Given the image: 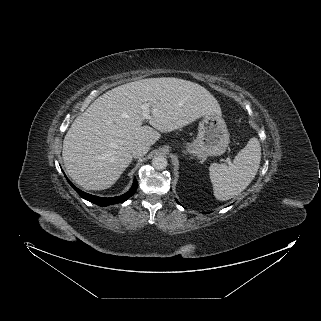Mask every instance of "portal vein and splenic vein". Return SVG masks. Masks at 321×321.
<instances>
[{"mask_svg": "<svg viewBox=\"0 0 321 321\" xmlns=\"http://www.w3.org/2000/svg\"><path fill=\"white\" fill-rule=\"evenodd\" d=\"M141 109H142V117H143V119L145 120V119H149L150 118V115H149V104H147V103H144V104H142V106H141Z\"/></svg>", "mask_w": 321, "mask_h": 321, "instance_id": "portal-vein-and-splenic-vein-1", "label": "portal vein and splenic vein"}]
</instances>
